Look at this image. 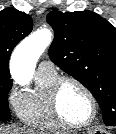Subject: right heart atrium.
Masks as SVG:
<instances>
[{"mask_svg": "<svg viewBox=\"0 0 116 134\" xmlns=\"http://www.w3.org/2000/svg\"><path fill=\"white\" fill-rule=\"evenodd\" d=\"M23 95L24 94H22V92L16 89L14 86L11 87L9 91V99L16 110L19 107V104L21 102V99L23 98Z\"/></svg>", "mask_w": 116, "mask_h": 134, "instance_id": "obj_1", "label": "right heart atrium"}]
</instances>
